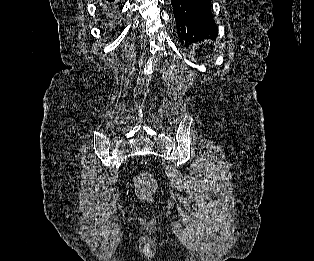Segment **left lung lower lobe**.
<instances>
[{
  "mask_svg": "<svg viewBox=\"0 0 314 261\" xmlns=\"http://www.w3.org/2000/svg\"><path fill=\"white\" fill-rule=\"evenodd\" d=\"M171 4L181 43L214 39L217 36L210 0H171Z\"/></svg>",
  "mask_w": 314,
  "mask_h": 261,
  "instance_id": "0a47b994",
  "label": "left lung lower lobe"
}]
</instances>
